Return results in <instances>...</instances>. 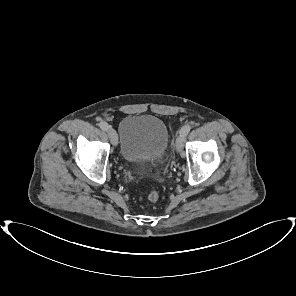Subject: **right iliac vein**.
<instances>
[{
  "mask_svg": "<svg viewBox=\"0 0 296 296\" xmlns=\"http://www.w3.org/2000/svg\"><path fill=\"white\" fill-rule=\"evenodd\" d=\"M108 135L110 138L111 143L116 146L118 143V137H117V133L113 128H109L108 129Z\"/></svg>",
  "mask_w": 296,
  "mask_h": 296,
  "instance_id": "right-iliac-vein-1",
  "label": "right iliac vein"
}]
</instances>
